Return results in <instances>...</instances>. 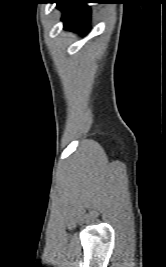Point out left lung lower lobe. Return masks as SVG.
<instances>
[{"instance_id": "obj_1", "label": "left lung lower lobe", "mask_w": 166, "mask_h": 267, "mask_svg": "<svg viewBox=\"0 0 166 267\" xmlns=\"http://www.w3.org/2000/svg\"><path fill=\"white\" fill-rule=\"evenodd\" d=\"M87 0H57V6L63 11L62 21L67 30L88 32L90 9Z\"/></svg>"}]
</instances>
